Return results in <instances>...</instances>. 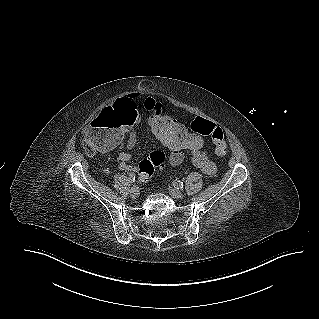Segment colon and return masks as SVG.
I'll return each instance as SVG.
<instances>
[{"mask_svg": "<svg viewBox=\"0 0 319 319\" xmlns=\"http://www.w3.org/2000/svg\"><path fill=\"white\" fill-rule=\"evenodd\" d=\"M192 127L203 135H193L192 130L176 123L166 113H154L147 120L148 131L179 152H200L206 147L207 137H209L214 143L216 154L220 157L226 155V132L222 127L211 124L203 117L194 119ZM83 148L89 154L95 152L88 146L86 137L83 141ZM165 161L166 155L163 151H153L147 159L142 160L138 165L139 181L141 183L147 182L156 168L163 166Z\"/></svg>", "mask_w": 319, "mask_h": 319, "instance_id": "5ec220e1", "label": "colon"}]
</instances>
